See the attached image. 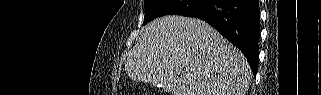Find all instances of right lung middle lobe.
<instances>
[{"label": "right lung middle lobe", "instance_id": "1", "mask_svg": "<svg viewBox=\"0 0 321 95\" xmlns=\"http://www.w3.org/2000/svg\"><path fill=\"white\" fill-rule=\"evenodd\" d=\"M207 0H145L144 24L163 15L189 16Z\"/></svg>", "mask_w": 321, "mask_h": 95}]
</instances>
